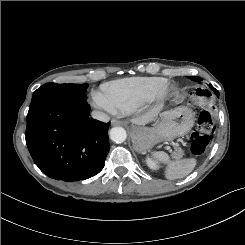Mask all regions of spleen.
<instances>
[{"label":"spleen","instance_id":"spleen-1","mask_svg":"<svg viewBox=\"0 0 245 245\" xmlns=\"http://www.w3.org/2000/svg\"><path fill=\"white\" fill-rule=\"evenodd\" d=\"M153 158L166 165L165 176L169 180L179 179L190 174L196 166L193 158L173 161L169 155L163 151L155 152Z\"/></svg>","mask_w":245,"mask_h":245}]
</instances>
